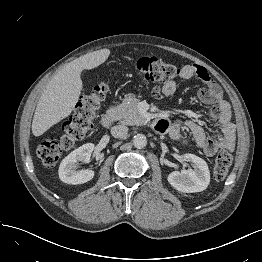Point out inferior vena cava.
<instances>
[{
  "mask_svg": "<svg viewBox=\"0 0 262 262\" xmlns=\"http://www.w3.org/2000/svg\"><path fill=\"white\" fill-rule=\"evenodd\" d=\"M128 133V127L125 125H117L111 128V134L115 138H123Z\"/></svg>",
  "mask_w": 262,
  "mask_h": 262,
  "instance_id": "obj_1",
  "label": "inferior vena cava"
}]
</instances>
